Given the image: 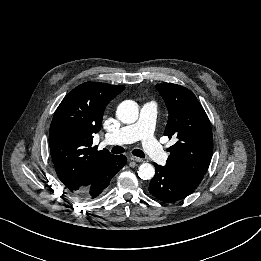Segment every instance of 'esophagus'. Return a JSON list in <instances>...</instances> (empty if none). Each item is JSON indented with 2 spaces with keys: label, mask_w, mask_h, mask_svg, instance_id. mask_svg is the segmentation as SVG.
<instances>
[{
  "label": "esophagus",
  "mask_w": 261,
  "mask_h": 261,
  "mask_svg": "<svg viewBox=\"0 0 261 261\" xmlns=\"http://www.w3.org/2000/svg\"><path fill=\"white\" fill-rule=\"evenodd\" d=\"M130 160L135 162H144L145 160L136 156H130Z\"/></svg>",
  "instance_id": "34e87169"
}]
</instances>
